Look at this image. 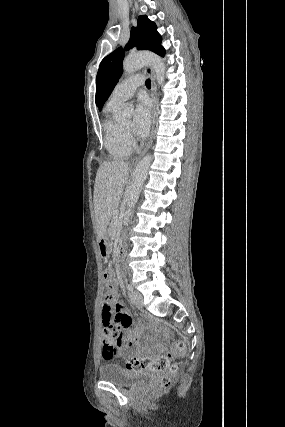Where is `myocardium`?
Here are the masks:
<instances>
[{"label": "myocardium", "instance_id": "obj_1", "mask_svg": "<svg viewBox=\"0 0 285 427\" xmlns=\"http://www.w3.org/2000/svg\"><path fill=\"white\" fill-rule=\"evenodd\" d=\"M123 127H124V126H123ZM124 129H125V131H126V132H129V130H130V129L126 128V127H124Z\"/></svg>", "mask_w": 285, "mask_h": 427}]
</instances>
